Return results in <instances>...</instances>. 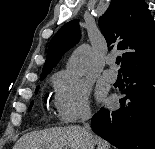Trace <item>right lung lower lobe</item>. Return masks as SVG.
<instances>
[{"instance_id": "1", "label": "right lung lower lobe", "mask_w": 155, "mask_h": 149, "mask_svg": "<svg viewBox=\"0 0 155 149\" xmlns=\"http://www.w3.org/2000/svg\"><path fill=\"white\" fill-rule=\"evenodd\" d=\"M122 73L127 87L120 109H101L92 130L119 149H155V62Z\"/></svg>"}]
</instances>
